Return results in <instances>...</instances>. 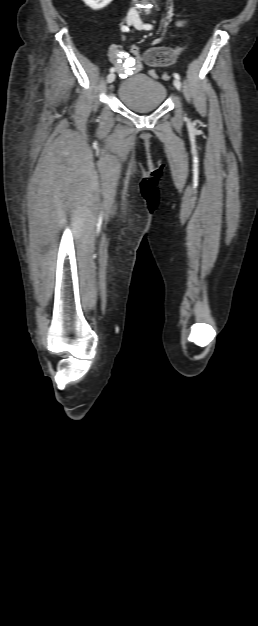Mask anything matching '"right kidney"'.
<instances>
[{"label":"right kidney","instance_id":"ca27d5eb","mask_svg":"<svg viewBox=\"0 0 258 626\" xmlns=\"http://www.w3.org/2000/svg\"><path fill=\"white\" fill-rule=\"evenodd\" d=\"M87 6L93 10H100L106 7L113 0H82Z\"/></svg>","mask_w":258,"mask_h":626}]
</instances>
